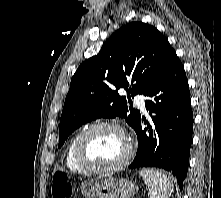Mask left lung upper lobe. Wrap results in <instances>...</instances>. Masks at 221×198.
I'll use <instances>...</instances> for the list:
<instances>
[{
  "mask_svg": "<svg viewBox=\"0 0 221 198\" xmlns=\"http://www.w3.org/2000/svg\"><path fill=\"white\" fill-rule=\"evenodd\" d=\"M174 52L167 38L151 25L132 22L118 29L72 77L58 147L75 129L97 118L119 116L134 128L140 113L127 102L145 93ZM121 88L128 91L127 98L118 94Z\"/></svg>",
  "mask_w": 221,
  "mask_h": 198,
  "instance_id": "obj_1",
  "label": "left lung upper lobe"
}]
</instances>
